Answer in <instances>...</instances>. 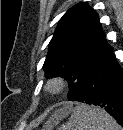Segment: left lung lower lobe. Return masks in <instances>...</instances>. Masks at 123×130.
<instances>
[{
	"label": "left lung lower lobe",
	"instance_id": "obj_1",
	"mask_svg": "<svg viewBox=\"0 0 123 130\" xmlns=\"http://www.w3.org/2000/svg\"><path fill=\"white\" fill-rule=\"evenodd\" d=\"M76 101L104 108L123 127V69L111 47L92 67Z\"/></svg>",
	"mask_w": 123,
	"mask_h": 130
}]
</instances>
